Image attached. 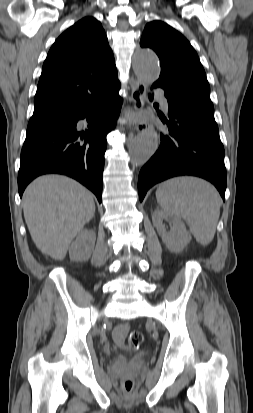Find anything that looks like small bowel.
<instances>
[{
    "label": "small bowel",
    "instance_id": "small-bowel-1",
    "mask_svg": "<svg viewBox=\"0 0 253 413\" xmlns=\"http://www.w3.org/2000/svg\"><path fill=\"white\" fill-rule=\"evenodd\" d=\"M128 332H129V325L122 324V325L116 326L112 333L114 342L119 346H123Z\"/></svg>",
    "mask_w": 253,
    "mask_h": 413
}]
</instances>
